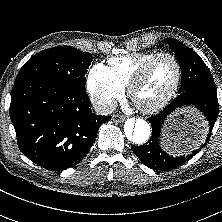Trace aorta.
Segmentation results:
<instances>
[{
	"label": "aorta",
	"instance_id": "1",
	"mask_svg": "<svg viewBox=\"0 0 222 222\" xmlns=\"http://www.w3.org/2000/svg\"><path fill=\"white\" fill-rule=\"evenodd\" d=\"M150 135V125L142 118H131L124 124L123 136L127 142L133 145H144Z\"/></svg>",
	"mask_w": 222,
	"mask_h": 222
}]
</instances>
